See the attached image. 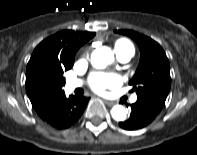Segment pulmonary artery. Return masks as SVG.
<instances>
[{
  "instance_id": "pulmonary-artery-1",
  "label": "pulmonary artery",
  "mask_w": 197,
  "mask_h": 155,
  "mask_svg": "<svg viewBox=\"0 0 197 155\" xmlns=\"http://www.w3.org/2000/svg\"><path fill=\"white\" fill-rule=\"evenodd\" d=\"M133 54L134 53L131 50H124V51H121V52L117 53V57H118L120 62L126 63L132 58ZM66 86H67V89L69 91H72V90L82 86V81L78 80V79L69 80L67 82ZM136 100H137L136 96H133L131 98L132 103L136 102Z\"/></svg>"
}]
</instances>
